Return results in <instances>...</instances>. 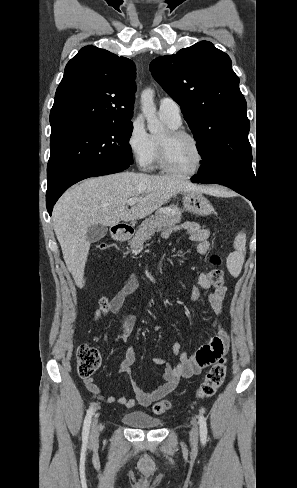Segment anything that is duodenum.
Wrapping results in <instances>:
<instances>
[{
    "instance_id": "obj_1",
    "label": "duodenum",
    "mask_w": 297,
    "mask_h": 488,
    "mask_svg": "<svg viewBox=\"0 0 297 488\" xmlns=\"http://www.w3.org/2000/svg\"><path fill=\"white\" fill-rule=\"evenodd\" d=\"M112 235L117 241H126L131 235V229L125 224H117L112 227Z\"/></svg>"
}]
</instances>
